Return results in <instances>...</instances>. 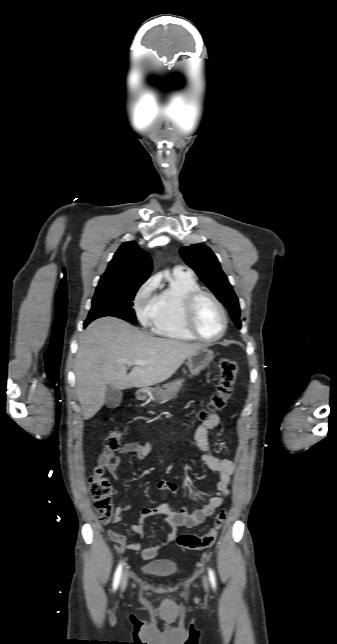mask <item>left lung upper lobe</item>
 I'll list each match as a JSON object with an SVG mask.
<instances>
[{"label":"left lung upper lobe","instance_id":"left-lung-upper-lobe-1","mask_svg":"<svg viewBox=\"0 0 337 644\" xmlns=\"http://www.w3.org/2000/svg\"><path fill=\"white\" fill-rule=\"evenodd\" d=\"M180 254L204 284L229 310L234 323L240 329L241 322L239 318L240 308L238 299L211 249L207 246L196 244L189 247H182Z\"/></svg>","mask_w":337,"mask_h":644}]
</instances>
